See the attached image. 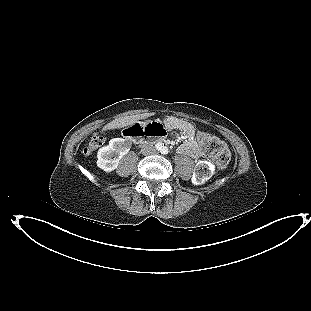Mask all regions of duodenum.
<instances>
[{
	"label": "duodenum",
	"mask_w": 311,
	"mask_h": 311,
	"mask_svg": "<svg viewBox=\"0 0 311 311\" xmlns=\"http://www.w3.org/2000/svg\"><path fill=\"white\" fill-rule=\"evenodd\" d=\"M125 135L129 138L130 141H132L135 144H140L146 140H149L150 138L154 140H161L160 136H158L154 129H143V128H138V129H130L128 133ZM144 137H147L146 139H143Z\"/></svg>",
	"instance_id": "obj_1"
}]
</instances>
